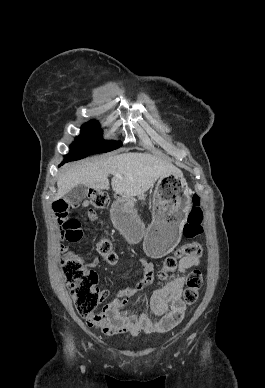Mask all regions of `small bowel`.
<instances>
[{
  "label": "small bowel",
  "mask_w": 265,
  "mask_h": 388,
  "mask_svg": "<svg viewBox=\"0 0 265 388\" xmlns=\"http://www.w3.org/2000/svg\"><path fill=\"white\" fill-rule=\"evenodd\" d=\"M79 206L87 208L90 206V202L84 200ZM88 217L91 220H95L97 215L90 210L88 211ZM59 249L65 253V258L77 259L75 254L67 251L63 245ZM140 262L143 267L142 278L130 288L117 292L114 299L107 303L103 309L102 315L104 319L102 323L98 325L90 324L91 326L101 329L103 333L109 336L120 334L138 336L143 332L169 331L183 320L186 306L181 297L185 273L188 269L199 265V257L181 258L179 261V274L153 293L150 300V310L144 309L139 313H133L125 311L123 309L124 306L131 296L140 292L150 284L154 274V265L152 262L146 259H141ZM83 264L88 267H95L98 264V259L91 258L84 261ZM109 295L110 292L108 290H103L100 295V301H104ZM152 315L158 316L160 319L154 321Z\"/></svg>",
  "instance_id": "c3829d8e"
}]
</instances>
